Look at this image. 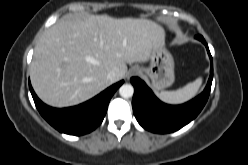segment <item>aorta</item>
I'll return each instance as SVG.
<instances>
[{
  "label": "aorta",
  "instance_id": "aorta-1",
  "mask_svg": "<svg viewBox=\"0 0 248 165\" xmlns=\"http://www.w3.org/2000/svg\"><path fill=\"white\" fill-rule=\"evenodd\" d=\"M134 88L130 84H124L119 88V94L123 98H130L133 96Z\"/></svg>",
  "mask_w": 248,
  "mask_h": 165
}]
</instances>
